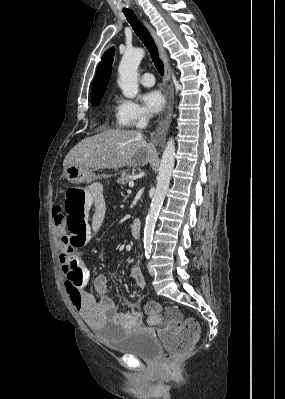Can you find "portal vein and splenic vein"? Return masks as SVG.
Segmentation results:
<instances>
[{
    "label": "portal vein and splenic vein",
    "mask_w": 285,
    "mask_h": 399,
    "mask_svg": "<svg viewBox=\"0 0 285 399\" xmlns=\"http://www.w3.org/2000/svg\"><path fill=\"white\" fill-rule=\"evenodd\" d=\"M134 186V182L133 181H130L129 182V187H133Z\"/></svg>",
    "instance_id": "portal-vein-and-splenic-vein-1"
}]
</instances>
